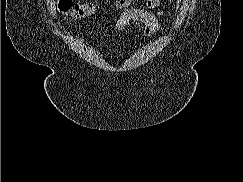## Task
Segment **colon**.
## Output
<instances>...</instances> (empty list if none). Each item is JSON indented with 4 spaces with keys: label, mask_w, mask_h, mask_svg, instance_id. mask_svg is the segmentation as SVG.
I'll use <instances>...</instances> for the list:
<instances>
[{
    "label": "colon",
    "mask_w": 243,
    "mask_h": 182,
    "mask_svg": "<svg viewBox=\"0 0 243 182\" xmlns=\"http://www.w3.org/2000/svg\"><path fill=\"white\" fill-rule=\"evenodd\" d=\"M133 0H114L113 5L117 9L127 8ZM57 8L59 12L73 18L81 19L92 15L95 10V4L91 2L74 3L73 0H58Z\"/></svg>",
    "instance_id": "5ec220e1"
}]
</instances>
